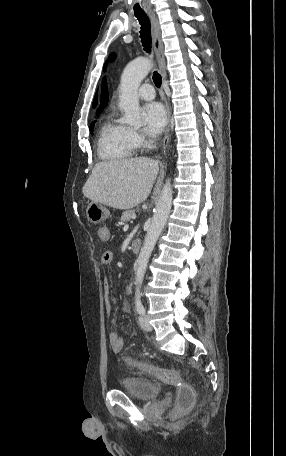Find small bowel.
<instances>
[{"instance_id":"obj_1","label":"small bowel","mask_w":286,"mask_h":456,"mask_svg":"<svg viewBox=\"0 0 286 456\" xmlns=\"http://www.w3.org/2000/svg\"><path fill=\"white\" fill-rule=\"evenodd\" d=\"M99 239L102 241H108L110 238V231L109 228L106 226H102L97 231ZM114 255L111 251H106L101 256V264L108 265L113 261ZM104 287V297H105V306L108 314H111L113 310V304L110 298V282L108 278L104 279L103 283ZM123 310H127V303H123ZM109 342L110 345L115 353H119L124 347V340L123 338L116 332L111 331L109 333Z\"/></svg>"}]
</instances>
